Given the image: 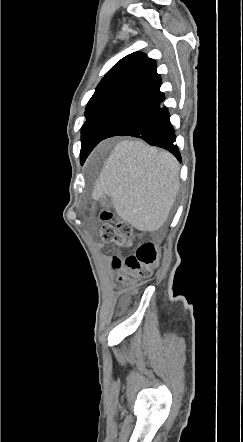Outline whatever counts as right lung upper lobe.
<instances>
[{"mask_svg": "<svg viewBox=\"0 0 243 442\" xmlns=\"http://www.w3.org/2000/svg\"><path fill=\"white\" fill-rule=\"evenodd\" d=\"M159 77L156 62L145 53L134 52L122 58L109 70L91 99L106 95L126 96Z\"/></svg>", "mask_w": 243, "mask_h": 442, "instance_id": "cb5924a9", "label": "right lung upper lobe"}]
</instances>
